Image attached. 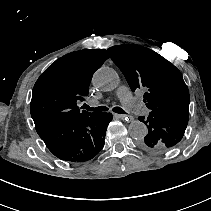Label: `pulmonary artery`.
<instances>
[{"label": "pulmonary artery", "instance_id": "pulmonary-artery-1", "mask_svg": "<svg viewBox=\"0 0 211 211\" xmlns=\"http://www.w3.org/2000/svg\"><path fill=\"white\" fill-rule=\"evenodd\" d=\"M118 97L126 104V108L132 111L133 115L141 117L145 115L147 108L140 100L133 97L126 87H120L118 90ZM91 105H98V101H92Z\"/></svg>", "mask_w": 211, "mask_h": 211}]
</instances>
